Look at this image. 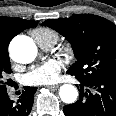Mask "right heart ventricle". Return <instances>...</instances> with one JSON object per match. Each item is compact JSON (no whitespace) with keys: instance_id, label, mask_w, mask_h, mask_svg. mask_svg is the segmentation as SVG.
I'll list each match as a JSON object with an SVG mask.
<instances>
[{"instance_id":"right-heart-ventricle-1","label":"right heart ventricle","mask_w":116,"mask_h":116,"mask_svg":"<svg viewBox=\"0 0 116 116\" xmlns=\"http://www.w3.org/2000/svg\"><path fill=\"white\" fill-rule=\"evenodd\" d=\"M32 36L40 46H53L59 40L58 33L48 27H38L32 31Z\"/></svg>"}]
</instances>
